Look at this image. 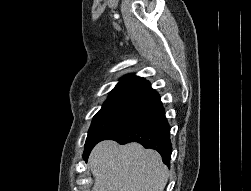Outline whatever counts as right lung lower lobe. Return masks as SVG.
<instances>
[{
    "instance_id": "1",
    "label": "right lung lower lobe",
    "mask_w": 251,
    "mask_h": 191,
    "mask_svg": "<svg viewBox=\"0 0 251 191\" xmlns=\"http://www.w3.org/2000/svg\"><path fill=\"white\" fill-rule=\"evenodd\" d=\"M108 139L115 140L120 144L138 142L145 148L159 152L163 163L168 166L170 164L172 153L170 127L160 99L140 112Z\"/></svg>"
}]
</instances>
